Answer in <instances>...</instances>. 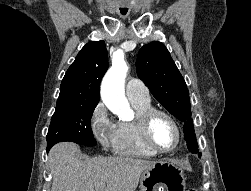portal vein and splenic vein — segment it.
I'll list each match as a JSON object with an SVG mask.
<instances>
[{
  "label": "portal vein and splenic vein",
  "instance_id": "obj_1",
  "mask_svg": "<svg viewBox=\"0 0 251 191\" xmlns=\"http://www.w3.org/2000/svg\"><path fill=\"white\" fill-rule=\"evenodd\" d=\"M104 185H100V189H103Z\"/></svg>",
  "mask_w": 251,
  "mask_h": 191
}]
</instances>
